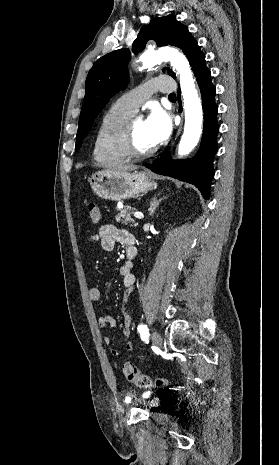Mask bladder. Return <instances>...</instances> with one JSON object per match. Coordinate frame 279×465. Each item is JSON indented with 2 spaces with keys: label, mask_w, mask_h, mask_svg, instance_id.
Here are the masks:
<instances>
[{
  "label": "bladder",
  "mask_w": 279,
  "mask_h": 465,
  "mask_svg": "<svg viewBox=\"0 0 279 465\" xmlns=\"http://www.w3.org/2000/svg\"><path fill=\"white\" fill-rule=\"evenodd\" d=\"M145 403L148 407L153 408L159 405V400L157 398H151L146 400Z\"/></svg>",
  "instance_id": "bladder-1"
}]
</instances>
